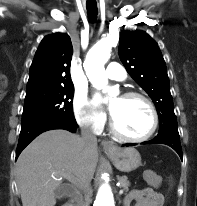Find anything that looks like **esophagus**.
Returning <instances> with one entry per match:
<instances>
[{
  "label": "esophagus",
  "instance_id": "34e87169",
  "mask_svg": "<svg viewBox=\"0 0 197 206\" xmlns=\"http://www.w3.org/2000/svg\"><path fill=\"white\" fill-rule=\"evenodd\" d=\"M101 146L105 153H113L117 149V144L110 141H102Z\"/></svg>",
  "mask_w": 197,
  "mask_h": 206
}]
</instances>
